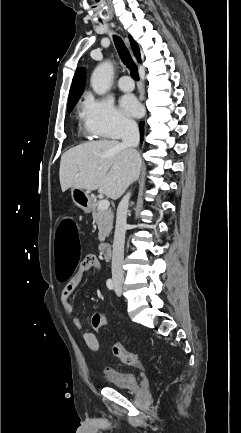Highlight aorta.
Wrapping results in <instances>:
<instances>
[{
    "label": "aorta",
    "instance_id": "obj_1",
    "mask_svg": "<svg viewBox=\"0 0 241 433\" xmlns=\"http://www.w3.org/2000/svg\"><path fill=\"white\" fill-rule=\"evenodd\" d=\"M113 65L110 61L100 63L92 73L91 86L98 95H104L111 87Z\"/></svg>",
    "mask_w": 241,
    "mask_h": 433
}]
</instances>
